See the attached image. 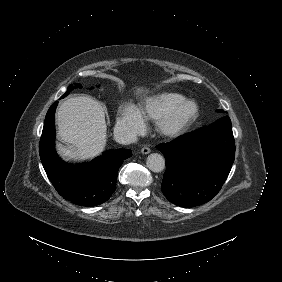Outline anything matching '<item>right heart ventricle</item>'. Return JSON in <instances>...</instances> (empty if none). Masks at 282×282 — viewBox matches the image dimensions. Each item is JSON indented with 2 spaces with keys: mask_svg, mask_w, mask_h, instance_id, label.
Returning <instances> with one entry per match:
<instances>
[{
  "mask_svg": "<svg viewBox=\"0 0 282 282\" xmlns=\"http://www.w3.org/2000/svg\"><path fill=\"white\" fill-rule=\"evenodd\" d=\"M182 97L177 95H162L152 100L144 114H149L155 118H163L173 107L182 101Z\"/></svg>",
  "mask_w": 282,
  "mask_h": 282,
  "instance_id": "e07e8e85",
  "label": "right heart ventricle"
}]
</instances>
